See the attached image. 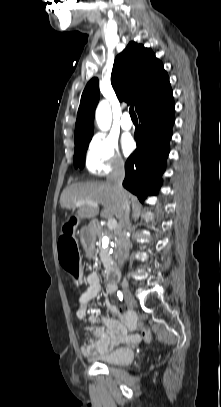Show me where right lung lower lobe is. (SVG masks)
<instances>
[{
    "instance_id": "98d812e1",
    "label": "right lung lower lobe",
    "mask_w": 221,
    "mask_h": 407,
    "mask_svg": "<svg viewBox=\"0 0 221 407\" xmlns=\"http://www.w3.org/2000/svg\"><path fill=\"white\" fill-rule=\"evenodd\" d=\"M174 107L169 86L138 110L141 125L135 130L137 149L125 163L123 186L141 202L160 187L175 120Z\"/></svg>"
}]
</instances>
